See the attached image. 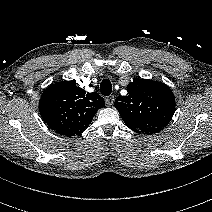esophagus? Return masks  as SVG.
Wrapping results in <instances>:
<instances>
[{"label":"esophagus","instance_id":"1","mask_svg":"<svg viewBox=\"0 0 212 212\" xmlns=\"http://www.w3.org/2000/svg\"><path fill=\"white\" fill-rule=\"evenodd\" d=\"M114 100H115L114 95H110V96H108V97L105 99L106 103H107L109 106L113 105Z\"/></svg>","mask_w":212,"mask_h":212}]
</instances>
